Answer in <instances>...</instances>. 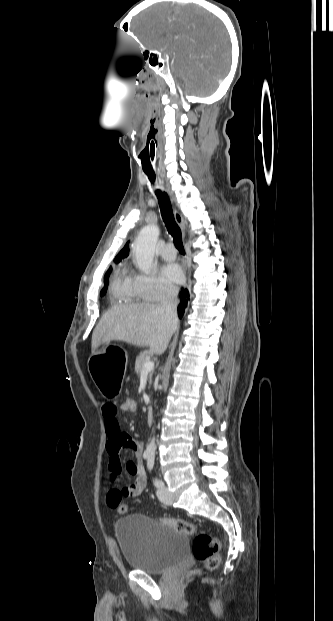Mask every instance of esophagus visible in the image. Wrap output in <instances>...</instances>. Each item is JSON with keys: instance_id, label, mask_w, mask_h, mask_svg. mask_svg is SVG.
Returning <instances> with one entry per match:
<instances>
[{"instance_id": "obj_1", "label": "esophagus", "mask_w": 333, "mask_h": 621, "mask_svg": "<svg viewBox=\"0 0 333 621\" xmlns=\"http://www.w3.org/2000/svg\"><path fill=\"white\" fill-rule=\"evenodd\" d=\"M174 217H175V220H176L177 224L180 227H183L184 224H183L182 217H181L180 213L176 209H174Z\"/></svg>"}]
</instances>
